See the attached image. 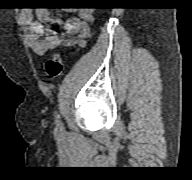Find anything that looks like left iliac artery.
Returning a JSON list of instances; mask_svg holds the SVG:
<instances>
[{
    "label": "left iliac artery",
    "instance_id": "1",
    "mask_svg": "<svg viewBox=\"0 0 192 180\" xmlns=\"http://www.w3.org/2000/svg\"><path fill=\"white\" fill-rule=\"evenodd\" d=\"M56 124H57V125H60V124H61V120H60L59 114L56 115Z\"/></svg>",
    "mask_w": 192,
    "mask_h": 180
}]
</instances>
